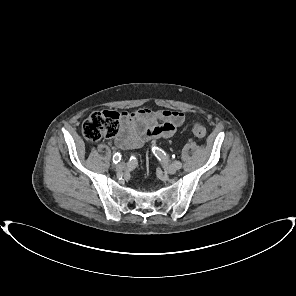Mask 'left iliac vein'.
I'll return each mask as SVG.
<instances>
[{
    "instance_id": "left-iliac-vein-1",
    "label": "left iliac vein",
    "mask_w": 296,
    "mask_h": 296,
    "mask_svg": "<svg viewBox=\"0 0 296 296\" xmlns=\"http://www.w3.org/2000/svg\"><path fill=\"white\" fill-rule=\"evenodd\" d=\"M163 169L168 174H175L177 172L178 168H176L173 165H168V164L163 163Z\"/></svg>"
}]
</instances>
